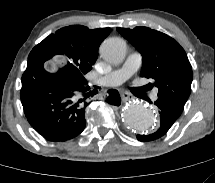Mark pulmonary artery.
<instances>
[{
    "label": "pulmonary artery",
    "mask_w": 215,
    "mask_h": 183,
    "mask_svg": "<svg viewBox=\"0 0 215 183\" xmlns=\"http://www.w3.org/2000/svg\"><path fill=\"white\" fill-rule=\"evenodd\" d=\"M142 64V56L139 52L131 53L123 66L117 70L110 72L109 74L98 78L97 84L103 87H116L128 80ZM152 100H157L158 92L155 90L151 94Z\"/></svg>",
    "instance_id": "pulmonary-artery-1"
}]
</instances>
